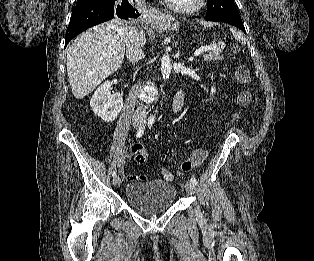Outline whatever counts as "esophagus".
I'll use <instances>...</instances> for the list:
<instances>
[{"instance_id": "esophagus-1", "label": "esophagus", "mask_w": 314, "mask_h": 261, "mask_svg": "<svg viewBox=\"0 0 314 261\" xmlns=\"http://www.w3.org/2000/svg\"><path fill=\"white\" fill-rule=\"evenodd\" d=\"M152 14H153V15H161L162 13L159 12V11H153Z\"/></svg>"}]
</instances>
